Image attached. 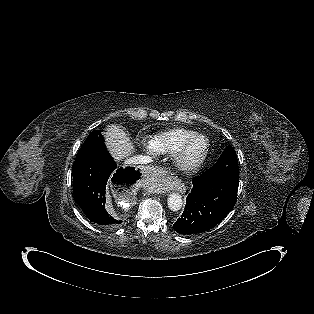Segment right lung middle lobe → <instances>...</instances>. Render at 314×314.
<instances>
[{
    "mask_svg": "<svg viewBox=\"0 0 314 314\" xmlns=\"http://www.w3.org/2000/svg\"><path fill=\"white\" fill-rule=\"evenodd\" d=\"M105 145L104 144V137L101 134V130L92 131L85 142L83 143L82 147L77 153L76 160L82 159L87 155L94 152L97 148Z\"/></svg>",
    "mask_w": 314,
    "mask_h": 314,
    "instance_id": "dd1d6c3e",
    "label": "right lung middle lobe"
}]
</instances>
